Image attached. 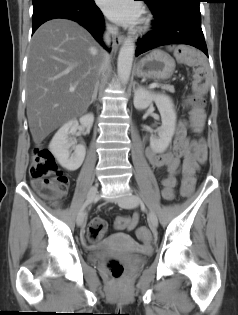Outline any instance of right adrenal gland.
<instances>
[{
  "mask_svg": "<svg viewBox=\"0 0 238 315\" xmlns=\"http://www.w3.org/2000/svg\"><path fill=\"white\" fill-rule=\"evenodd\" d=\"M98 88H99V81L96 83V87H95V90H94V93L92 95V99L90 101V105L96 100L97 98V93H98Z\"/></svg>",
  "mask_w": 238,
  "mask_h": 315,
  "instance_id": "obj_1",
  "label": "right adrenal gland"
}]
</instances>
